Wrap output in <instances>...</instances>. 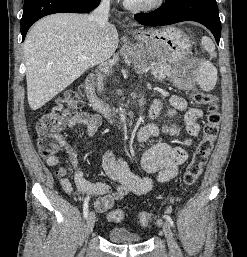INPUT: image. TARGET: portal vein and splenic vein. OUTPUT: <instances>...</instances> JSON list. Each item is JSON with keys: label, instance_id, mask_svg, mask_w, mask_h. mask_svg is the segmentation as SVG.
<instances>
[{"label": "portal vein and splenic vein", "instance_id": "obj_1", "mask_svg": "<svg viewBox=\"0 0 247 257\" xmlns=\"http://www.w3.org/2000/svg\"><path fill=\"white\" fill-rule=\"evenodd\" d=\"M77 60H78V61H85V60H86V57H85V56H80V57H78ZM148 70H149V68L146 69V71H148Z\"/></svg>", "mask_w": 247, "mask_h": 257}]
</instances>
